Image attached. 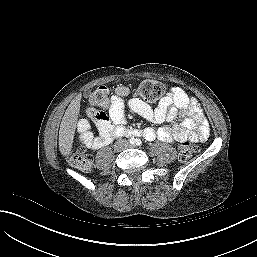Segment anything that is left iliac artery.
I'll use <instances>...</instances> for the list:
<instances>
[{"label": "left iliac artery", "mask_w": 257, "mask_h": 257, "mask_svg": "<svg viewBox=\"0 0 257 257\" xmlns=\"http://www.w3.org/2000/svg\"><path fill=\"white\" fill-rule=\"evenodd\" d=\"M136 145H138V146L142 145V141L140 139H137L136 140Z\"/></svg>", "instance_id": "left-iliac-artery-1"}]
</instances>
